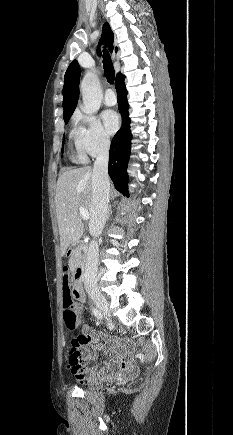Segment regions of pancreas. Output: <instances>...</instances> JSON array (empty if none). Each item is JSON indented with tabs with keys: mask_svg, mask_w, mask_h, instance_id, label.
<instances>
[{
	"mask_svg": "<svg viewBox=\"0 0 233 435\" xmlns=\"http://www.w3.org/2000/svg\"><path fill=\"white\" fill-rule=\"evenodd\" d=\"M80 260H81V255L80 254H74L72 256V258L70 259V261H69V265L71 267H75L78 263H80Z\"/></svg>",
	"mask_w": 233,
	"mask_h": 435,
	"instance_id": "1",
	"label": "pancreas"
}]
</instances>
